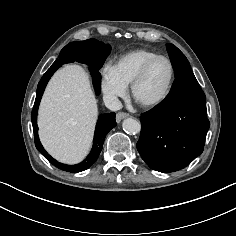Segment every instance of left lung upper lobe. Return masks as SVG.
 <instances>
[{"label":"left lung upper lobe","instance_id":"5c2ea615","mask_svg":"<svg viewBox=\"0 0 236 236\" xmlns=\"http://www.w3.org/2000/svg\"><path fill=\"white\" fill-rule=\"evenodd\" d=\"M168 54L175 68V76L191 70L190 64L185 55L173 44H167Z\"/></svg>","mask_w":236,"mask_h":236}]
</instances>
